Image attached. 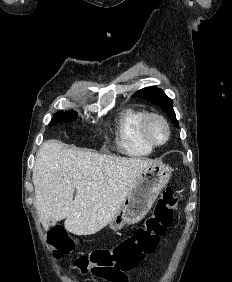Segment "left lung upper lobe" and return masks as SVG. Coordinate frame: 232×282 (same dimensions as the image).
<instances>
[{"label": "left lung upper lobe", "instance_id": "5c2ea615", "mask_svg": "<svg viewBox=\"0 0 232 282\" xmlns=\"http://www.w3.org/2000/svg\"><path fill=\"white\" fill-rule=\"evenodd\" d=\"M133 97H139L160 106L167 113L171 121L179 127L173 110V101L161 89L154 86L143 88L137 91Z\"/></svg>", "mask_w": 232, "mask_h": 282}]
</instances>
